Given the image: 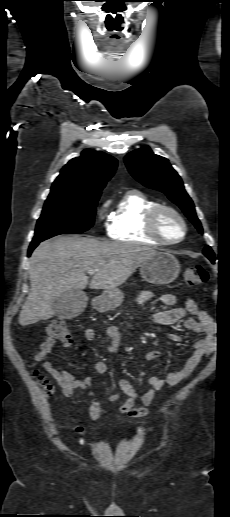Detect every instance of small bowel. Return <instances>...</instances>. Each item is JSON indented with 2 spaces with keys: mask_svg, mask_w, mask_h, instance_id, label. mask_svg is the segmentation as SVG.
<instances>
[{
  "mask_svg": "<svg viewBox=\"0 0 230 517\" xmlns=\"http://www.w3.org/2000/svg\"><path fill=\"white\" fill-rule=\"evenodd\" d=\"M153 297V293L144 291L139 295L138 300L140 303H145ZM159 300L163 305L171 308L155 313L152 316V321L155 324L167 326L183 321L184 326L188 330L202 334L204 337L194 343L193 353L180 370L169 373L164 378L152 377L149 381L150 388L142 393L137 392L128 379L119 378L118 386L121 393L109 394L106 396V399L109 402H116L121 396H125L126 400L120 407V413L134 418L146 416L148 406L153 402L157 391L162 389L171 391L181 385L200 365L202 360L209 357L215 351L217 346V325L205 311L198 307L192 298H186L183 307H172L176 302V297L173 294H164ZM106 335L110 342L105 345V349L109 353L117 354L121 345V331L119 328L112 326L106 330ZM166 335L171 341L184 342L183 338L177 334L168 332ZM83 338L88 341L93 340L95 338L94 330L92 328H85L83 330ZM55 344V339L50 337L45 339L40 346V350L34 355L33 360L42 363L45 370L55 378L61 387L63 396L71 397L77 389L85 391L90 398L89 416L93 421L99 420L105 411L93 390V380L90 377L79 380L66 370L57 368L48 359V355ZM64 344L69 345V341H65ZM159 356L160 351L157 350L150 351L147 354V358L150 360L156 359ZM94 370L98 374H105L108 371V364L104 361H97L94 363ZM72 422L80 436H88L82 425L77 424L74 419H72Z\"/></svg>",
  "mask_w": 230,
  "mask_h": 517,
  "instance_id": "obj_1",
  "label": "small bowel"
}]
</instances>
